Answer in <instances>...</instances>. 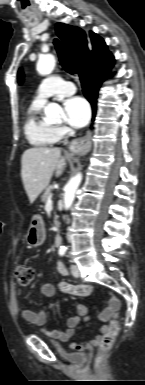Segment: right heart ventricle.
<instances>
[{
  "instance_id": "1",
  "label": "right heart ventricle",
  "mask_w": 145,
  "mask_h": 385,
  "mask_svg": "<svg viewBox=\"0 0 145 385\" xmlns=\"http://www.w3.org/2000/svg\"><path fill=\"white\" fill-rule=\"evenodd\" d=\"M43 103L33 102L26 113L24 133L30 144L37 147H46L56 143L59 139L55 127L45 122L40 112Z\"/></svg>"
}]
</instances>
